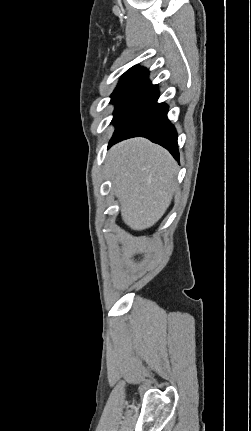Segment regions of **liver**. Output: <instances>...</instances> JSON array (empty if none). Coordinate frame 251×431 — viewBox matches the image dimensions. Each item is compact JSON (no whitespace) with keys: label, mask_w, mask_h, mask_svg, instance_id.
Returning <instances> with one entry per match:
<instances>
[{"label":"liver","mask_w":251,"mask_h":431,"mask_svg":"<svg viewBox=\"0 0 251 431\" xmlns=\"http://www.w3.org/2000/svg\"><path fill=\"white\" fill-rule=\"evenodd\" d=\"M105 172L133 230L152 227L164 215L176 190L177 165L167 150L144 138L114 145Z\"/></svg>","instance_id":"liver-1"}]
</instances>
